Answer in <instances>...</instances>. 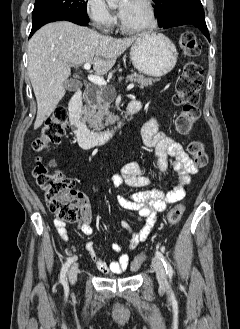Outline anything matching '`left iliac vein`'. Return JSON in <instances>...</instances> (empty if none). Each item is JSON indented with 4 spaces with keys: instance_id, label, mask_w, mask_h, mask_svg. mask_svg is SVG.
Segmentation results:
<instances>
[{
    "instance_id": "1",
    "label": "left iliac vein",
    "mask_w": 240,
    "mask_h": 329,
    "mask_svg": "<svg viewBox=\"0 0 240 329\" xmlns=\"http://www.w3.org/2000/svg\"><path fill=\"white\" fill-rule=\"evenodd\" d=\"M153 268L156 272L157 280L161 286H166L167 285V278H166V273L165 269L163 266V263L158 257H154L153 260Z\"/></svg>"
}]
</instances>
